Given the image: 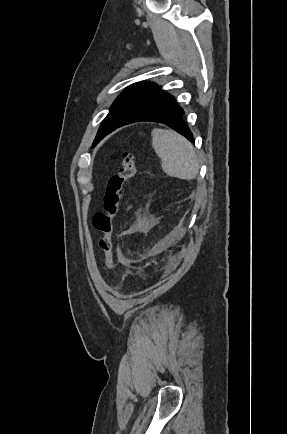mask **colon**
Returning <instances> with one entry per match:
<instances>
[{"label": "colon", "instance_id": "obj_1", "mask_svg": "<svg viewBox=\"0 0 287 434\" xmlns=\"http://www.w3.org/2000/svg\"><path fill=\"white\" fill-rule=\"evenodd\" d=\"M136 166L134 156L130 152L122 155L118 173L114 174L106 187L103 196V210L93 217V224L100 233L99 247L103 253L104 269L109 272L113 266V234L114 220L120 212L126 184L134 177Z\"/></svg>", "mask_w": 287, "mask_h": 434}]
</instances>
